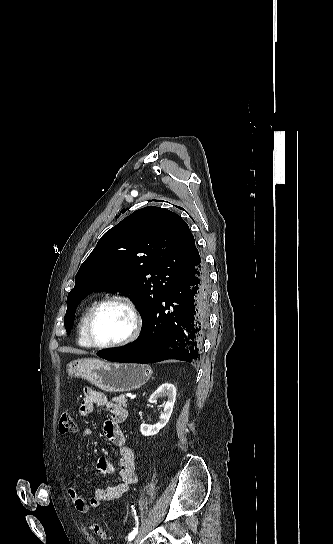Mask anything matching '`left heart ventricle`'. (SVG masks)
I'll return each instance as SVG.
<instances>
[{
  "label": "left heart ventricle",
  "instance_id": "obj_1",
  "mask_svg": "<svg viewBox=\"0 0 333 544\" xmlns=\"http://www.w3.org/2000/svg\"><path fill=\"white\" fill-rule=\"evenodd\" d=\"M133 327L130 310L120 302H111L101 308L96 315L92 333L101 344L113 343L127 337Z\"/></svg>",
  "mask_w": 333,
  "mask_h": 544
}]
</instances>
